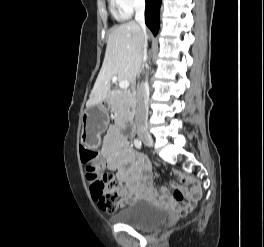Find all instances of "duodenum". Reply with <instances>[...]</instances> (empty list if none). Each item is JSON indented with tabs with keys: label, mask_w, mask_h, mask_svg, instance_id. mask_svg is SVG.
I'll list each match as a JSON object with an SVG mask.
<instances>
[{
	"label": "duodenum",
	"mask_w": 264,
	"mask_h": 247,
	"mask_svg": "<svg viewBox=\"0 0 264 247\" xmlns=\"http://www.w3.org/2000/svg\"><path fill=\"white\" fill-rule=\"evenodd\" d=\"M125 129L130 133V134H133L134 131H135V127H134V124H133V121L132 120H128L126 123H125Z\"/></svg>",
	"instance_id": "duodenum-1"
}]
</instances>
